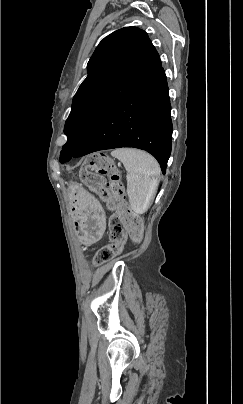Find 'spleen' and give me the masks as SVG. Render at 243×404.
I'll list each match as a JSON object with an SVG mask.
<instances>
[{
	"mask_svg": "<svg viewBox=\"0 0 243 404\" xmlns=\"http://www.w3.org/2000/svg\"><path fill=\"white\" fill-rule=\"evenodd\" d=\"M113 158L122 162L126 172L127 196L134 214H145L155 194L160 166L150 154L136 148H117Z\"/></svg>",
	"mask_w": 243,
	"mask_h": 404,
	"instance_id": "obj_1",
	"label": "spleen"
}]
</instances>
